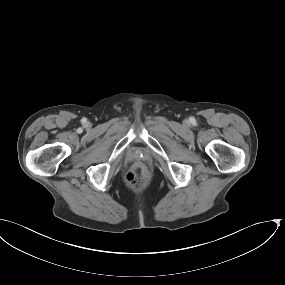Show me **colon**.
I'll return each instance as SVG.
<instances>
[{
    "label": "colon",
    "instance_id": "5ec220e1",
    "mask_svg": "<svg viewBox=\"0 0 285 285\" xmlns=\"http://www.w3.org/2000/svg\"><path fill=\"white\" fill-rule=\"evenodd\" d=\"M147 181V169L141 164L135 165L126 175V182L132 189L142 188Z\"/></svg>",
    "mask_w": 285,
    "mask_h": 285
}]
</instances>
